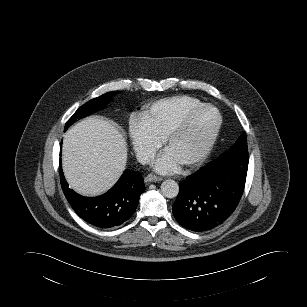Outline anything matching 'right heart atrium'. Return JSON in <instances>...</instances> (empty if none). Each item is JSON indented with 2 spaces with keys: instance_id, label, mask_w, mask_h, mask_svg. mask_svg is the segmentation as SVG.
I'll return each instance as SVG.
<instances>
[{
  "instance_id": "right-heart-atrium-1",
  "label": "right heart atrium",
  "mask_w": 307,
  "mask_h": 307,
  "mask_svg": "<svg viewBox=\"0 0 307 307\" xmlns=\"http://www.w3.org/2000/svg\"><path fill=\"white\" fill-rule=\"evenodd\" d=\"M129 134L133 149L141 162L152 160L161 145L140 119H132L129 124Z\"/></svg>"
}]
</instances>
